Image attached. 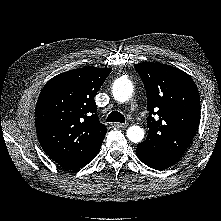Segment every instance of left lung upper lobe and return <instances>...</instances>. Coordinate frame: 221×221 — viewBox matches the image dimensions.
Listing matches in <instances>:
<instances>
[{
    "mask_svg": "<svg viewBox=\"0 0 221 221\" xmlns=\"http://www.w3.org/2000/svg\"><path fill=\"white\" fill-rule=\"evenodd\" d=\"M147 93L148 135L138 145L157 157L178 162L200 121V97L184 71L160 63L134 65Z\"/></svg>",
    "mask_w": 221,
    "mask_h": 221,
    "instance_id": "left-lung-upper-lobe-1",
    "label": "left lung upper lobe"
}]
</instances>
